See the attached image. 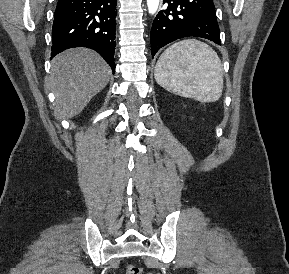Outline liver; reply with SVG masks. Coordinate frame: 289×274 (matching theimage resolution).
<instances>
[{
  "label": "liver",
  "mask_w": 289,
  "mask_h": 274,
  "mask_svg": "<svg viewBox=\"0 0 289 274\" xmlns=\"http://www.w3.org/2000/svg\"><path fill=\"white\" fill-rule=\"evenodd\" d=\"M110 67L95 51L68 49L52 60L49 83L55 94V114L61 119L77 116L106 87Z\"/></svg>",
  "instance_id": "liver-1"
}]
</instances>
